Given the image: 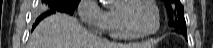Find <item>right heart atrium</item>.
<instances>
[{
    "instance_id": "obj_1",
    "label": "right heart atrium",
    "mask_w": 213,
    "mask_h": 48,
    "mask_svg": "<svg viewBox=\"0 0 213 48\" xmlns=\"http://www.w3.org/2000/svg\"><path fill=\"white\" fill-rule=\"evenodd\" d=\"M78 14L83 23L97 33L105 32L107 14L95 0H82L78 5Z\"/></svg>"
}]
</instances>
